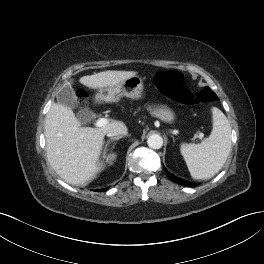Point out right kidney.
I'll return each mask as SVG.
<instances>
[{"mask_svg": "<svg viewBox=\"0 0 264 264\" xmlns=\"http://www.w3.org/2000/svg\"><path fill=\"white\" fill-rule=\"evenodd\" d=\"M114 157H115V156L113 155L111 158L114 159Z\"/></svg>", "mask_w": 264, "mask_h": 264, "instance_id": "obj_1", "label": "right kidney"}]
</instances>
